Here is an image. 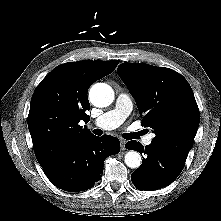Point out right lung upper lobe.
I'll return each mask as SVG.
<instances>
[{
	"instance_id": "right-lung-upper-lobe-1",
	"label": "right lung upper lobe",
	"mask_w": 221,
	"mask_h": 221,
	"mask_svg": "<svg viewBox=\"0 0 221 221\" xmlns=\"http://www.w3.org/2000/svg\"><path fill=\"white\" fill-rule=\"evenodd\" d=\"M118 63L86 60L61 64L37 86L28 128L41 166L93 135L78 125L80 120H90L87 91L95 81L112 73Z\"/></svg>"
}]
</instances>
